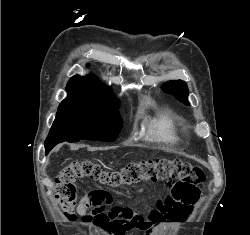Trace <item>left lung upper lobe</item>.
<instances>
[{"mask_svg": "<svg viewBox=\"0 0 250 235\" xmlns=\"http://www.w3.org/2000/svg\"><path fill=\"white\" fill-rule=\"evenodd\" d=\"M162 90L173 94L179 101L188 104V88L182 80L169 81L162 85Z\"/></svg>", "mask_w": 250, "mask_h": 235, "instance_id": "obj_1", "label": "left lung upper lobe"}]
</instances>
